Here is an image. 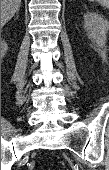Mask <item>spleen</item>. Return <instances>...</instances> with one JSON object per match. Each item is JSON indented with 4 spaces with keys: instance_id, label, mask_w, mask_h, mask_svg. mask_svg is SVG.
<instances>
[{
    "instance_id": "obj_1",
    "label": "spleen",
    "mask_w": 109,
    "mask_h": 170,
    "mask_svg": "<svg viewBox=\"0 0 109 170\" xmlns=\"http://www.w3.org/2000/svg\"><path fill=\"white\" fill-rule=\"evenodd\" d=\"M90 2H98L100 4H102L103 6H108L109 5V0H88Z\"/></svg>"
}]
</instances>
